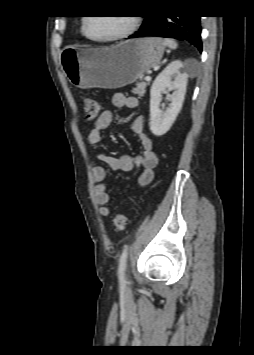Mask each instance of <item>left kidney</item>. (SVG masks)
<instances>
[{
	"instance_id": "obj_1",
	"label": "left kidney",
	"mask_w": 254,
	"mask_h": 355,
	"mask_svg": "<svg viewBox=\"0 0 254 355\" xmlns=\"http://www.w3.org/2000/svg\"><path fill=\"white\" fill-rule=\"evenodd\" d=\"M184 63L172 61L156 77L150 90V130L156 136H162L169 131L178 116L186 93L188 74L184 72ZM174 90L168 97L169 107L162 111L159 106L162 93Z\"/></svg>"
}]
</instances>
